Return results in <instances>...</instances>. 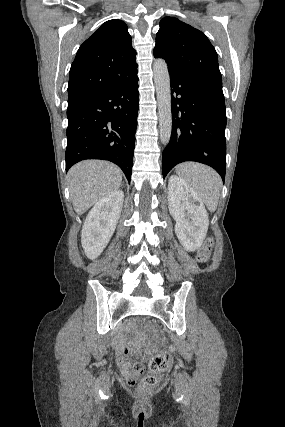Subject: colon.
Here are the masks:
<instances>
[{
  "label": "colon",
  "instance_id": "colon-1",
  "mask_svg": "<svg viewBox=\"0 0 285 427\" xmlns=\"http://www.w3.org/2000/svg\"><path fill=\"white\" fill-rule=\"evenodd\" d=\"M214 242L212 238H208L204 244L200 247L197 255V259L201 263H206L209 261L211 256V251L213 248ZM124 353L129 356H133L135 354L134 350L130 347L124 349ZM170 354L161 350L157 354H155L149 361V370L150 373L143 375L140 380L136 378L129 379V385L134 388L137 392L142 394H150L153 393L158 385L159 379L157 374L166 370L170 365ZM134 371L138 374H143V364L141 362L133 363Z\"/></svg>",
  "mask_w": 285,
  "mask_h": 427
}]
</instances>
